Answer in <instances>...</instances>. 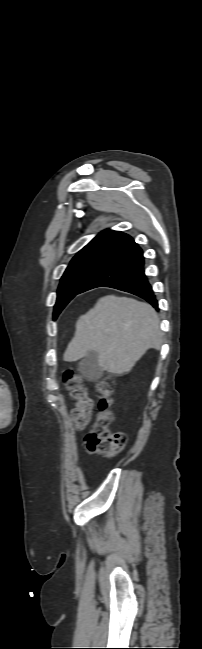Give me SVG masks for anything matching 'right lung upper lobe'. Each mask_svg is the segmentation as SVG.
<instances>
[{"label":"right lung upper lobe","instance_id":"obj_1","mask_svg":"<svg viewBox=\"0 0 202 649\" xmlns=\"http://www.w3.org/2000/svg\"><path fill=\"white\" fill-rule=\"evenodd\" d=\"M136 246L137 244L131 236L119 231L105 230L99 233L91 242L80 250L77 255L88 253H108L117 256Z\"/></svg>","mask_w":202,"mask_h":649}]
</instances>
